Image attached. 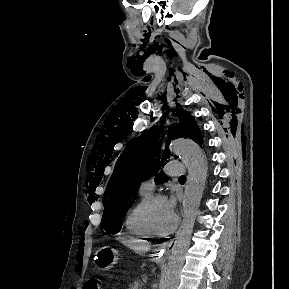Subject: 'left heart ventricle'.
<instances>
[{
	"mask_svg": "<svg viewBox=\"0 0 289 289\" xmlns=\"http://www.w3.org/2000/svg\"><path fill=\"white\" fill-rule=\"evenodd\" d=\"M152 223L158 230H166L173 222L174 216L169 212L167 208L166 199L158 200L151 213Z\"/></svg>",
	"mask_w": 289,
	"mask_h": 289,
	"instance_id": "obj_1",
	"label": "left heart ventricle"
}]
</instances>
